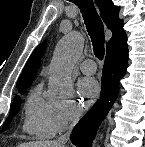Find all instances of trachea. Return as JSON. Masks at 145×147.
Instances as JSON below:
<instances>
[{
	"instance_id": "3493384b",
	"label": "trachea",
	"mask_w": 145,
	"mask_h": 147,
	"mask_svg": "<svg viewBox=\"0 0 145 147\" xmlns=\"http://www.w3.org/2000/svg\"><path fill=\"white\" fill-rule=\"evenodd\" d=\"M81 10L88 34L93 44L95 56L102 60L105 54L104 42V25L96 12L92 0H75L73 1Z\"/></svg>"
}]
</instances>
